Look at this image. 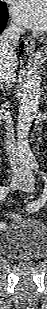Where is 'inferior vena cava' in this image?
Segmentation results:
<instances>
[{
  "mask_svg": "<svg viewBox=\"0 0 47 309\" xmlns=\"http://www.w3.org/2000/svg\"><path fill=\"white\" fill-rule=\"evenodd\" d=\"M24 29L15 23H11L0 36V82L12 86L16 80V69L14 62L17 59L16 45L19 42L20 35ZM6 119V148L13 166L18 161V150L12 130L10 115L5 113Z\"/></svg>",
  "mask_w": 47,
  "mask_h": 309,
  "instance_id": "obj_1",
  "label": "inferior vena cava"
}]
</instances>
